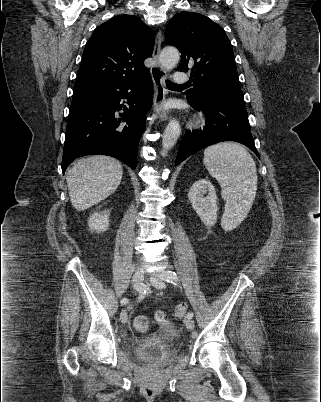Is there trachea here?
Instances as JSON below:
<instances>
[{"label": "trachea", "mask_w": 321, "mask_h": 402, "mask_svg": "<svg viewBox=\"0 0 321 402\" xmlns=\"http://www.w3.org/2000/svg\"><path fill=\"white\" fill-rule=\"evenodd\" d=\"M166 85H167L168 88H171V87L186 86V85H188V84L186 83V84L180 85V84H176V83H174V82H172V81H170V80H166Z\"/></svg>", "instance_id": "1"}]
</instances>
